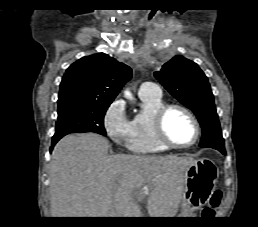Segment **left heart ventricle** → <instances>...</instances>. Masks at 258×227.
Wrapping results in <instances>:
<instances>
[{"mask_svg":"<svg viewBox=\"0 0 258 227\" xmlns=\"http://www.w3.org/2000/svg\"><path fill=\"white\" fill-rule=\"evenodd\" d=\"M167 135L178 144H188L195 136V129L190 118L179 110H172L165 119Z\"/></svg>","mask_w":258,"mask_h":227,"instance_id":"1","label":"left heart ventricle"}]
</instances>
